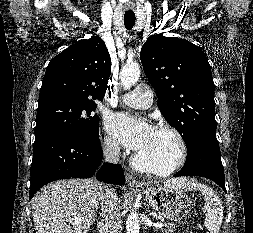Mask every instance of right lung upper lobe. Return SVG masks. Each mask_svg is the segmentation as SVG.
I'll list each match as a JSON object with an SVG mask.
<instances>
[{"mask_svg": "<svg viewBox=\"0 0 253 233\" xmlns=\"http://www.w3.org/2000/svg\"><path fill=\"white\" fill-rule=\"evenodd\" d=\"M111 74V58L100 37L80 40L54 57L46 69L39 102L52 98L103 99Z\"/></svg>", "mask_w": 253, "mask_h": 233, "instance_id": "obj_1", "label": "right lung upper lobe"}]
</instances>
